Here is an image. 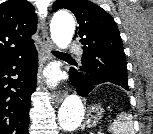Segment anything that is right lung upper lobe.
<instances>
[{
	"label": "right lung upper lobe",
	"mask_w": 153,
	"mask_h": 134,
	"mask_svg": "<svg viewBox=\"0 0 153 134\" xmlns=\"http://www.w3.org/2000/svg\"><path fill=\"white\" fill-rule=\"evenodd\" d=\"M37 30L34 7L27 0L0 4V63L34 49L31 36Z\"/></svg>",
	"instance_id": "right-lung-upper-lobe-1"
}]
</instances>
